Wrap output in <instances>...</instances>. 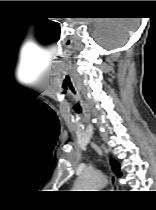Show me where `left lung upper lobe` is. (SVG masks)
<instances>
[{"instance_id": "left-lung-upper-lobe-1", "label": "left lung upper lobe", "mask_w": 156, "mask_h": 210, "mask_svg": "<svg viewBox=\"0 0 156 210\" xmlns=\"http://www.w3.org/2000/svg\"><path fill=\"white\" fill-rule=\"evenodd\" d=\"M111 164H112V167L115 170L116 174L120 177L122 175V173L118 171L120 169V165L118 164V162L115 161L114 159H111Z\"/></svg>"}]
</instances>
